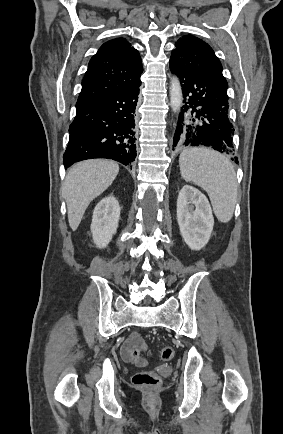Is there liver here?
<instances>
[{
	"mask_svg": "<svg viewBox=\"0 0 283 434\" xmlns=\"http://www.w3.org/2000/svg\"><path fill=\"white\" fill-rule=\"evenodd\" d=\"M119 172L117 163L104 159H91L73 165L62 186L67 204L68 221L75 231L90 204L115 180Z\"/></svg>",
	"mask_w": 283,
	"mask_h": 434,
	"instance_id": "1",
	"label": "liver"
}]
</instances>
